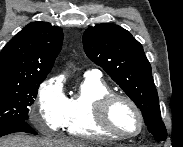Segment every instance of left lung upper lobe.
Here are the masks:
<instances>
[{
	"mask_svg": "<svg viewBox=\"0 0 183 147\" xmlns=\"http://www.w3.org/2000/svg\"><path fill=\"white\" fill-rule=\"evenodd\" d=\"M82 40L89 59L102 67L142 111L149 132L157 141L165 140L167 131L142 45L127 30L114 24L89 27Z\"/></svg>",
	"mask_w": 183,
	"mask_h": 147,
	"instance_id": "obj_1",
	"label": "left lung upper lobe"
}]
</instances>
